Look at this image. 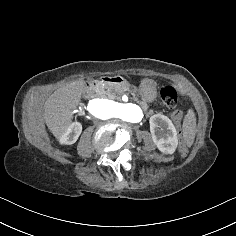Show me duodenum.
Here are the masks:
<instances>
[{
  "instance_id": "obj_1",
  "label": "duodenum",
  "mask_w": 236,
  "mask_h": 236,
  "mask_svg": "<svg viewBox=\"0 0 236 236\" xmlns=\"http://www.w3.org/2000/svg\"><path fill=\"white\" fill-rule=\"evenodd\" d=\"M123 82V78L118 75H106L89 81L85 84L84 92L89 93L96 85L101 83L106 84H121Z\"/></svg>"
}]
</instances>
